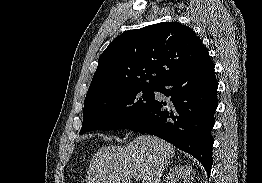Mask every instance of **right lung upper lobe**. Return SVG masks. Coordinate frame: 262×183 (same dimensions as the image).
<instances>
[{
	"label": "right lung upper lobe",
	"mask_w": 262,
	"mask_h": 183,
	"mask_svg": "<svg viewBox=\"0 0 262 183\" xmlns=\"http://www.w3.org/2000/svg\"><path fill=\"white\" fill-rule=\"evenodd\" d=\"M211 61L195 32L178 22L129 30L99 57L85 102L131 88H156Z\"/></svg>",
	"instance_id": "obj_1"
}]
</instances>
